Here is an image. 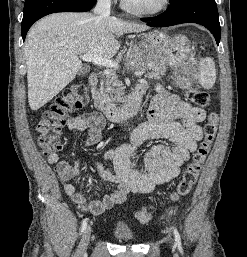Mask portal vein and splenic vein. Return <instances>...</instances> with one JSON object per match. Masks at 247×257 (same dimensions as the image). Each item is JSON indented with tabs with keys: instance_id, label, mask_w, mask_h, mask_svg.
I'll use <instances>...</instances> for the list:
<instances>
[{
	"instance_id": "obj_1",
	"label": "portal vein and splenic vein",
	"mask_w": 247,
	"mask_h": 257,
	"mask_svg": "<svg viewBox=\"0 0 247 257\" xmlns=\"http://www.w3.org/2000/svg\"><path fill=\"white\" fill-rule=\"evenodd\" d=\"M81 59L83 61L93 62L97 65L107 67V68H118V64L113 62L110 59L100 57L97 55H82ZM144 74V71L135 72V75L141 77Z\"/></svg>"
}]
</instances>
